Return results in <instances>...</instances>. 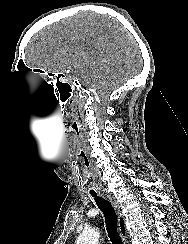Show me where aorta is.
<instances>
[{
  "label": "aorta",
  "instance_id": "762f6f07",
  "mask_svg": "<svg viewBox=\"0 0 188 244\" xmlns=\"http://www.w3.org/2000/svg\"><path fill=\"white\" fill-rule=\"evenodd\" d=\"M99 237L97 229H84L78 236L76 244H98Z\"/></svg>",
  "mask_w": 188,
  "mask_h": 244
}]
</instances>
